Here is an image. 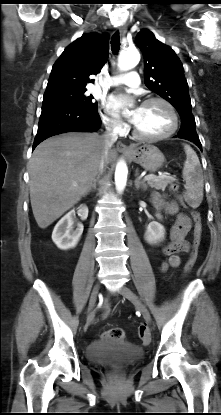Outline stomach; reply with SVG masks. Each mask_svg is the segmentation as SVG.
Instances as JSON below:
<instances>
[{"instance_id":"1","label":"stomach","mask_w":221,"mask_h":415,"mask_svg":"<svg viewBox=\"0 0 221 415\" xmlns=\"http://www.w3.org/2000/svg\"><path fill=\"white\" fill-rule=\"evenodd\" d=\"M127 156L150 172L157 171L165 162L163 153L156 146L147 143L134 147Z\"/></svg>"}]
</instances>
